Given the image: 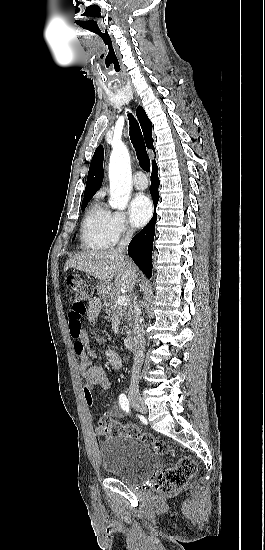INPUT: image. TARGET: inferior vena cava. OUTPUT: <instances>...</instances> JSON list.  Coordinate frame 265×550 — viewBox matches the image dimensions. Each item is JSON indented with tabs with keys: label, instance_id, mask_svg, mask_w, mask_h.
Wrapping results in <instances>:
<instances>
[{
	"label": "inferior vena cava",
	"instance_id": "obj_1",
	"mask_svg": "<svg viewBox=\"0 0 265 550\" xmlns=\"http://www.w3.org/2000/svg\"><path fill=\"white\" fill-rule=\"evenodd\" d=\"M133 235V229H128L126 235L121 239L120 243L118 244V247L116 248V251L119 254H123L126 252L128 244L131 241ZM133 355H134V363L132 367V375H131V381L133 383H137L138 381V374L141 370L143 360H144V352H145V330L144 326L141 320V311L137 304V297L134 296V325H133Z\"/></svg>",
	"mask_w": 265,
	"mask_h": 550
}]
</instances>
